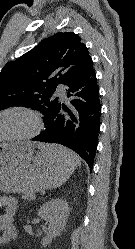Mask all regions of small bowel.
I'll list each match as a JSON object with an SVG mask.
<instances>
[{
  "label": "small bowel",
  "instance_id": "small-bowel-1",
  "mask_svg": "<svg viewBox=\"0 0 135 249\" xmlns=\"http://www.w3.org/2000/svg\"><path fill=\"white\" fill-rule=\"evenodd\" d=\"M0 207L4 213L0 214V248L8 245L17 237L14 217L17 208V200L10 196H0Z\"/></svg>",
  "mask_w": 135,
  "mask_h": 249
}]
</instances>
